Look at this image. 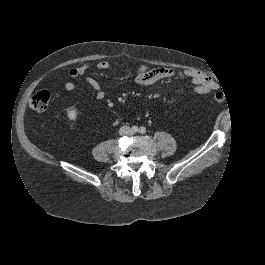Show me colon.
<instances>
[{"label": "colon", "mask_w": 265, "mask_h": 265, "mask_svg": "<svg viewBox=\"0 0 265 265\" xmlns=\"http://www.w3.org/2000/svg\"><path fill=\"white\" fill-rule=\"evenodd\" d=\"M50 99L51 95L47 90L38 91L32 96L30 106L36 112H42L48 107ZM225 99L226 96L223 92H217L214 94V100L216 102L222 103Z\"/></svg>", "instance_id": "colon-1"}]
</instances>
